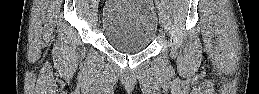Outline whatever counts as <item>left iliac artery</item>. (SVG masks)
Wrapping results in <instances>:
<instances>
[{
	"label": "left iliac artery",
	"mask_w": 259,
	"mask_h": 94,
	"mask_svg": "<svg viewBox=\"0 0 259 94\" xmlns=\"http://www.w3.org/2000/svg\"><path fill=\"white\" fill-rule=\"evenodd\" d=\"M156 5L158 9H162V3L159 0H156Z\"/></svg>",
	"instance_id": "obj_1"
}]
</instances>
